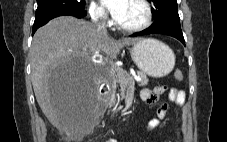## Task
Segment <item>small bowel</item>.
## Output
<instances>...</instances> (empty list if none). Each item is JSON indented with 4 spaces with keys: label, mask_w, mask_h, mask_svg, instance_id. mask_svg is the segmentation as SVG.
<instances>
[{
    "label": "small bowel",
    "mask_w": 227,
    "mask_h": 142,
    "mask_svg": "<svg viewBox=\"0 0 227 142\" xmlns=\"http://www.w3.org/2000/svg\"><path fill=\"white\" fill-rule=\"evenodd\" d=\"M168 91L169 99L175 102L177 105L181 106L185 102V93L177 88L168 89L165 86L155 87L153 89L145 88L141 91L140 96L143 101L148 104H155L158 102L159 97ZM168 106L166 103H162L158 106L156 111V116L151 119L148 123V130H152L157 127L161 120H163L167 115ZM105 142H117L115 139H107Z\"/></svg>",
    "instance_id": "small-bowel-1"
}]
</instances>
